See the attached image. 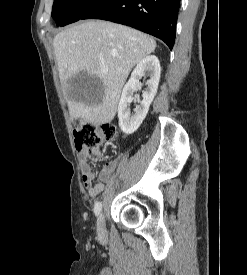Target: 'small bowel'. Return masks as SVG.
<instances>
[{
	"label": "small bowel",
	"mask_w": 247,
	"mask_h": 275,
	"mask_svg": "<svg viewBox=\"0 0 247 275\" xmlns=\"http://www.w3.org/2000/svg\"><path fill=\"white\" fill-rule=\"evenodd\" d=\"M88 158L86 152L80 154L82 181L89 195L91 197H96L104 190V184L112 177L118 167L119 160L116 159L106 163L99 173V182L94 183L95 170L88 163Z\"/></svg>",
	"instance_id": "obj_1"
}]
</instances>
